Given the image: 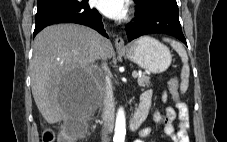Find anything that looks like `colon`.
<instances>
[{
  "label": "colon",
  "instance_id": "colon-1",
  "mask_svg": "<svg viewBox=\"0 0 227 142\" xmlns=\"http://www.w3.org/2000/svg\"><path fill=\"white\" fill-rule=\"evenodd\" d=\"M177 89H178V81L177 79H172L169 83V90L172 97L177 100ZM76 129L70 128L68 130L62 131L58 136L55 131L52 129H46L42 135V142H75Z\"/></svg>",
  "mask_w": 227,
  "mask_h": 142
}]
</instances>
